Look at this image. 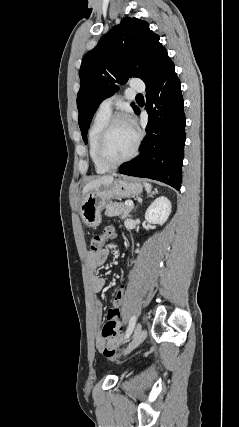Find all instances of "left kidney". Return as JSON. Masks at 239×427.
I'll return each instance as SVG.
<instances>
[{
    "mask_svg": "<svg viewBox=\"0 0 239 427\" xmlns=\"http://www.w3.org/2000/svg\"><path fill=\"white\" fill-rule=\"evenodd\" d=\"M171 213V202L168 198L161 196L154 200L146 210L145 219L152 224H164Z\"/></svg>",
    "mask_w": 239,
    "mask_h": 427,
    "instance_id": "left-kidney-1",
    "label": "left kidney"
}]
</instances>
